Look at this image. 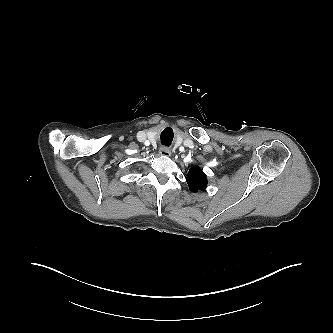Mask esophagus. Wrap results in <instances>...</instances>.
<instances>
[{"mask_svg": "<svg viewBox=\"0 0 333 333\" xmlns=\"http://www.w3.org/2000/svg\"><path fill=\"white\" fill-rule=\"evenodd\" d=\"M159 154L163 157H170L171 156L170 150L166 147H161L160 150H159Z\"/></svg>", "mask_w": 333, "mask_h": 333, "instance_id": "esophagus-1", "label": "esophagus"}]
</instances>
